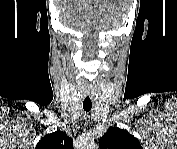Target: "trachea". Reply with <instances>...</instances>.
I'll return each mask as SVG.
<instances>
[{"label": "trachea", "instance_id": "3493384b", "mask_svg": "<svg viewBox=\"0 0 177 149\" xmlns=\"http://www.w3.org/2000/svg\"><path fill=\"white\" fill-rule=\"evenodd\" d=\"M92 108V103L91 102H88V103H85L83 102V109L86 111V112H89Z\"/></svg>", "mask_w": 177, "mask_h": 149}]
</instances>
